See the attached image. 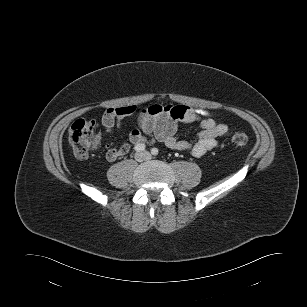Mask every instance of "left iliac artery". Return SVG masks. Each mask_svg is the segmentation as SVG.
I'll return each instance as SVG.
<instances>
[{
  "label": "left iliac artery",
  "instance_id": "left-iliac-artery-1",
  "mask_svg": "<svg viewBox=\"0 0 307 307\" xmlns=\"http://www.w3.org/2000/svg\"><path fill=\"white\" fill-rule=\"evenodd\" d=\"M158 152H159V151H158L157 148H152V149H151V154L154 155V156L158 155Z\"/></svg>",
  "mask_w": 307,
  "mask_h": 307
}]
</instances>
